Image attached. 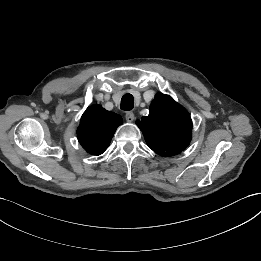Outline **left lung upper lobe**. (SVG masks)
Wrapping results in <instances>:
<instances>
[{"label": "left lung upper lobe", "mask_w": 261, "mask_h": 261, "mask_svg": "<svg viewBox=\"0 0 261 261\" xmlns=\"http://www.w3.org/2000/svg\"><path fill=\"white\" fill-rule=\"evenodd\" d=\"M147 145L162 156L183 151L191 141L192 120L188 112L170 96L158 93L150 113L136 121Z\"/></svg>", "instance_id": "1"}]
</instances>
